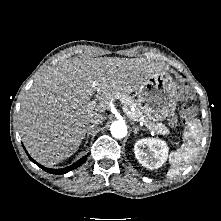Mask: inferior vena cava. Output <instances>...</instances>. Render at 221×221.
Instances as JSON below:
<instances>
[{"instance_id":"1","label":"inferior vena cava","mask_w":221,"mask_h":221,"mask_svg":"<svg viewBox=\"0 0 221 221\" xmlns=\"http://www.w3.org/2000/svg\"><path fill=\"white\" fill-rule=\"evenodd\" d=\"M102 121H103V119L101 118V116H95V117L90 119V123H92L94 125L101 124Z\"/></svg>"}]
</instances>
